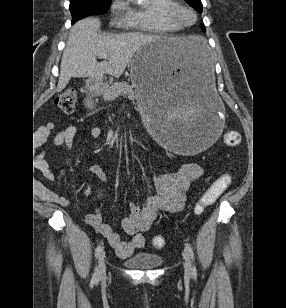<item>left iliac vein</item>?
<instances>
[{
    "label": "left iliac vein",
    "mask_w": 286,
    "mask_h": 308,
    "mask_svg": "<svg viewBox=\"0 0 286 308\" xmlns=\"http://www.w3.org/2000/svg\"><path fill=\"white\" fill-rule=\"evenodd\" d=\"M183 258H184V269L186 275L190 276L192 273V265H191V260L189 258V255L187 254L186 251H183Z\"/></svg>",
    "instance_id": "obj_1"
}]
</instances>
